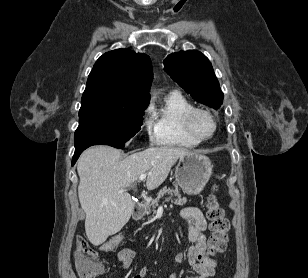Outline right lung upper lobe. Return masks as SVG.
Wrapping results in <instances>:
<instances>
[{
    "label": "right lung upper lobe",
    "instance_id": "cb5924a9",
    "mask_svg": "<svg viewBox=\"0 0 308 278\" xmlns=\"http://www.w3.org/2000/svg\"><path fill=\"white\" fill-rule=\"evenodd\" d=\"M152 76L146 54L128 49L103 54L89 74L79 116L148 106Z\"/></svg>",
    "mask_w": 308,
    "mask_h": 278
}]
</instances>
